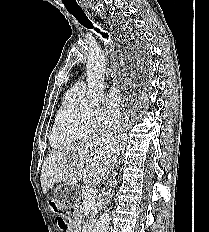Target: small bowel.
Returning a JSON list of instances; mask_svg holds the SVG:
<instances>
[{
	"mask_svg": "<svg viewBox=\"0 0 209 232\" xmlns=\"http://www.w3.org/2000/svg\"><path fill=\"white\" fill-rule=\"evenodd\" d=\"M81 228V217L79 214H75L73 219L67 225L66 232H79Z\"/></svg>",
	"mask_w": 209,
	"mask_h": 232,
	"instance_id": "c3829d8e",
	"label": "small bowel"
}]
</instances>
